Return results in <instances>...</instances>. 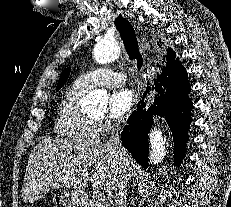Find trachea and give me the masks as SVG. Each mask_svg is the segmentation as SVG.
Listing matches in <instances>:
<instances>
[{"label": "trachea", "mask_w": 231, "mask_h": 207, "mask_svg": "<svg viewBox=\"0 0 231 207\" xmlns=\"http://www.w3.org/2000/svg\"><path fill=\"white\" fill-rule=\"evenodd\" d=\"M114 23L120 33L129 59L132 61L136 60L137 69L140 70L143 65V57L139 51L138 41L133 26L122 16H118Z\"/></svg>", "instance_id": "1"}]
</instances>
